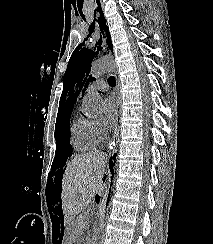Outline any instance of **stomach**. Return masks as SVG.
Returning <instances> with one entry per match:
<instances>
[{
    "label": "stomach",
    "mask_w": 213,
    "mask_h": 244,
    "mask_svg": "<svg viewBox=\"0 0 213 244\" xmlns=\"http://www.w3.org/2000/svg\"><path fill=\"white\" fill-rule=\"evenodd\" d=\"M76 221H65L66 233L65 239L62 240L63 244H72V239H78L79 230L77 229Z\"/></svg>",
    "instance_id": "obj_1"
}]
</instances>
